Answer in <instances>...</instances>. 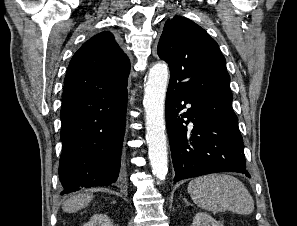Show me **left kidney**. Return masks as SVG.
<instances>
[{
  "label": "left kidney",
  "mask_w": 297,
  "mask_h": 226,
  "mask_svg": "<svg viewBox=\"0 0 297 226\" xmlns=\"http://www.w3.org/2000/svg\"><path fill=\"white\" fill-rule=\"evenodd\" d=\"M191 226H224L207 213L199 212L195 215Z\"/></svg>",
  "instance_id": "5707ae66"
}]
</instances>
